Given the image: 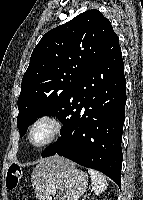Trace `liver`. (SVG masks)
I'll use <instances>...</instances> for the list:
<instances>
[{
    "label": "liver",
    "instance_id": "1",
    "mask_svg": "<svg viewBox=\"0 0 143 200\" xmlns=\"http://www.w3.org/2000/svg\"><path fill=\"white\" fill-rule=\"evenodd\" d=\"M74 165L71 161L59 157L58 155L48 157L39 162L34 168L31 176L32 185L36 192V196L41 198L43 195L50 177L62 167Z\"/></svg>",
    "mask_w": 143,
    "mask_h": 200
}]
</instances>
